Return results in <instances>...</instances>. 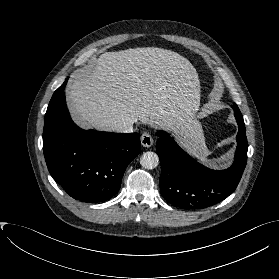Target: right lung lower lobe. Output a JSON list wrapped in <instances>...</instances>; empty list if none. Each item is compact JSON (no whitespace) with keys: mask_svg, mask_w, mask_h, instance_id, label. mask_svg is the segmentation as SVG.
Instances as JSON below:
<instances>
[{"mask_svg":"<svg viewBox=\"0 0 279 279\" xmlns=\"http://www.w3.org/2000/svg\"><path fill=\"white\" fill-rule=\"evenodd\" d=\"M60 87L48 106L43 151L51 176L66 193L83 202H103L115 196L128 164L141 152L140 134L83 130L74 124Z\"/></svg>","mask_w":279,"mask_h":279,"instance_id":"obj_1","label":"right lung lower lobe"}]
</instances>
